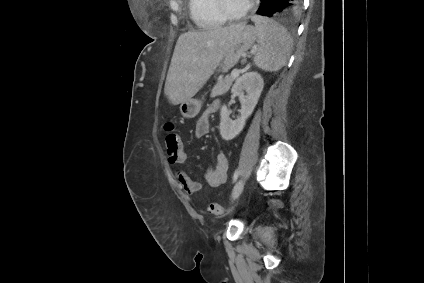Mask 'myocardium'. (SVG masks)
<instances>
[{
	"label": "myocardium",
	"mask_w": 424,
	"mask_h": 283,
	"mask_svg": "<svg viewBox=\"0 0 424 283\" xmlns=\"http://www.w3.org/2000/svg\"><path fill=\"white\" fill-rule=\"evenodd\" d=\"M255 1L256 0H250L247 7L239 13H234L229 10L227 7L225 0H217V8L223 18L228 21H242L246 19L249 14L253 11L255 7Z\"/></svg>",
	"instance_id": "f54148a6"
}]
</instances>
